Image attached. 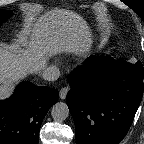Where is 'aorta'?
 Segmentation results:
<instances>
[{
    "label": "aorta",
    "instance_id": "obj_1",
    "mask_svg": "<svg viewBox=\"0 0 144 144\" xmlns=\"http://www.w3.org/2000/svg\"><path fill=\"white\" fill-rule=\"evenodd\" d=\"M51 115L56 121H64L69 116V108L64 102H57L53 105Z\"/></svg>",
    "mask_w": 144,
    "mask_h": 144
}]
</instances>
